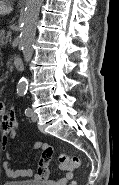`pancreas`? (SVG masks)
<instances>
[{"label":"pancreas","instance_id":"obj_1","mask_svg":"<svg viewBox=\"0 0 119 185\" xmlns=\"http://www.w3.org/2000/svg\"><path fill=\"white\" fill-rule=\"evenodd\" d=\"M8 38L5 36V32H0V46L4 47L7 46Z\"/></svg>","mask_w":119,"mask_h":185}]
</instances>
